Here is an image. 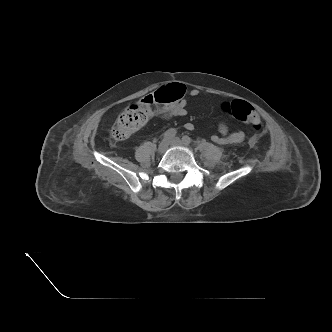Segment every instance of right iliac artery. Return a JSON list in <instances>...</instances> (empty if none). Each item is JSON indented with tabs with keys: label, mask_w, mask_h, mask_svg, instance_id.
I'll return each instance as SVG.
<instances>
[{
	"label": "right iliac artery",
	"mask_w": 332,
	"mask_h": 332,
	"mask_svg": "<svg viewBox=\"0 0 332 332\" xmlns=\"http://www.w3.org/2000/svg\"><path fill=\"white\" fill-rule=\"evenodd\" d=\"M176 133L177 131L174 128H170L164 133V139L170 140L175 137Z\"/></svg>",
	"instance_id": "obj_1"
}]
</instances>
